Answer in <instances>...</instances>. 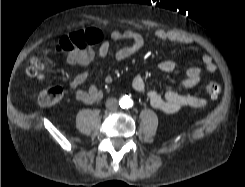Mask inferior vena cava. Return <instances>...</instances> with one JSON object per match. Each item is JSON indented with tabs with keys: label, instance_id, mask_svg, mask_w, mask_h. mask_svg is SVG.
<instances>
[{
	"label": "inferior vena cava",
	"instance_id": "1",
	"mask_svg": "<svg viewBox=\"0 0 245 187\" xmlns=\"http://www.w3.org/2000/svg\"><path fill=\"white\" fill-rule=\"evenodd\" d=\"M106 108L110 109V110H116L118 107V101L116 98H109L106 101Z\"/></svg>",
	"mask_w": 245,
	"mask_h": 187
}]
</instances>
